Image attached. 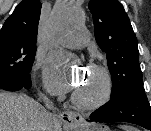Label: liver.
I'll return each mask as SVG.
<instances>
[{
    "mask_svg": "<svg viewBox=\"0 0 151 131\" xmlns=\"http://www.w3.org/2000/svg\"><path fill=\"white\" fill-rule=\"evenodd\" d=\"M53 118L25 94L0 93V131H54ZM60 126L57 131L60 130Z\"/></svg>",
    "mask_w": 151,
    "mask_h": 131,
    "instance_id": "obj_1",
    "label": "liver"
}]
</instances>
